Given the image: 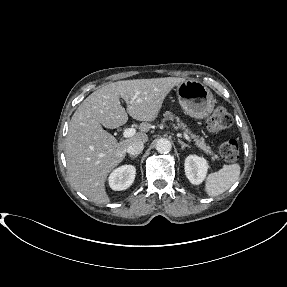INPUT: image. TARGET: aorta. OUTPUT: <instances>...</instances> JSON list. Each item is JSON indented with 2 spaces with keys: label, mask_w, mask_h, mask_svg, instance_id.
I'll return each mask as SVG.
<instances>
[{
  "label": "aorta",
  "mask_w": 287,
  "mask_h": 287,
  "mask_svg": "<svg viewBox=\"0 0 287 287\" xmlns=\"http://www.w3.org/2000/svg\"><path fill=\"white\" fill-rule=\"evenodd\" d=\"M172 145L168 139H159L156 143V150L161 154H167L171 151Z\"/></svg>",
  "instance_id": "aorta-1"
}]
</instances>
